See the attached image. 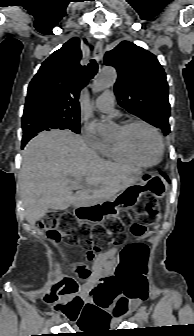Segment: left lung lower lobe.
<instances>
[{"mask_svg": "<svg viewBox=\"0 0 194 336\" xmlns=\"http://www.w3.org/2000/svg\"><path fill=\"white\" fill-rule=\"evenodd\" d=\"M164 175V174H163ZM165 176V178L168 180V178H167V176L166 175H164Z\"/></svg>", "mask_w": 194, "mask_h": 336, "instance_id": "obj_1", "label": "left lung lower lobe"}]
</instances>
